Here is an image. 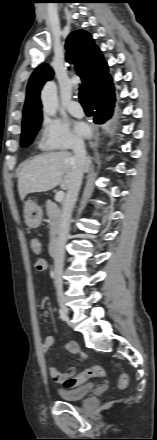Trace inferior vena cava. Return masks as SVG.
<instances>
[{
    "label": "inferior vena cava",
    "instance_id": "obj_1",
    "mask_svg": "<svg viewBox=\"0 0 157 440\" xmlns=\"http://www.w3.org/2000/svg\"><path fill=\"white\" fill-rule=\"evenodd\" d=\"M74 152V175L69 185L66 198L63 204L60 227L56 240L54 254V284L58 291L62 290V275L65 257V246L70 231V220L74 205L78 198V193L82 183V176L86 161V151L84 141L82 139L74 140L72 144Z\"/></svg>",
    "mask_w": 157,
    "mask_h": 440
}]
</instances>
